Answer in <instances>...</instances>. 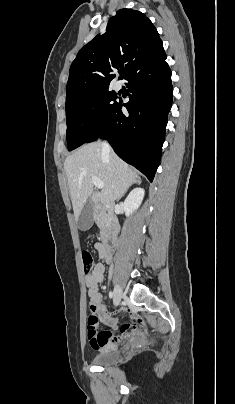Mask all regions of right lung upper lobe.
Wrapping results in <instances>:
<instances>
[{
	"label": "right lung upper lobe",
	"mask_w": 235,
	"mask_h": 404,
	"mask_svg": "<svg viewBox=\"0 0 235 404\" xmlns=\"http://www.w3.org/2000/svg\"><path fill=\"white\" fill-rule=\"evenodd\" d=\"M159 34L140 11L120 9L110 18L106 32L86 44L73 61L67 83L66 102L109 88L115 68L121 79L165 57Z\"/></svg>",
	"instance_id": "obj_1"
}]
</instances>
